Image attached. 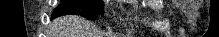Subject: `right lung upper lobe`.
<instances>
[{"label": "right lung upper lobe", "mask_w": 219, "mask_h": 37, "mask_svg": "<svg viewBox=\"0 0 219 37\" xmlns=\"http://www.w3.org/2000/svg\"><path fill=\"white\" fill-rule=\"evenodd\" d=\"M90 1H101V0H90ZM102 2V1H101Z\"/></svg>", "instance_id": "obj_1"}]
</instances>
